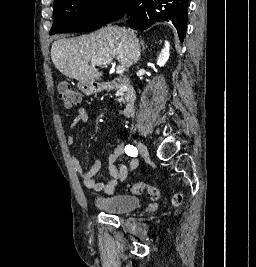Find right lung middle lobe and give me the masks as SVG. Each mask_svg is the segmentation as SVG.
<instances>
[{
    "instance_id": "1",
    "label": "right lung middle lobe",
    "mask_w": 256,
    "mask_h": 267,
    "mask_svg": "<svg viewBox=\"0 0 256 267\" xmlns=\"http://www.w3.org/2000/svg\"><path fill=\"white\" fill-rule=\"evenodd\" d=\"M131 0H57L50 34L92 31L122 17Z\"/></svg>"
}]
</instances>
